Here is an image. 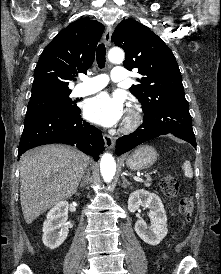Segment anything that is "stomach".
<instances>
[{
    "label": "stomach",
    "mask_w": 221,
    "mask_h": 274,
    "mask_svg": "<svg viewBox=\"0 0 221 274\" xmlns=\"http://www.w3.org/2000/svg\"><path fill=\"white\" fill-rule=\"evenodd\" d=\"M155 148L143 145L137 148L126 160V165L131 170H143L152 166L157 160Z\"/></svg>",
    "instance_id": "stomach-1"
}]
</instances>
